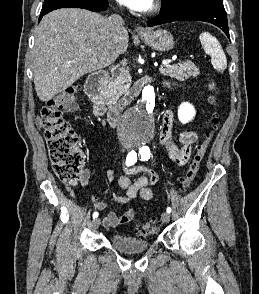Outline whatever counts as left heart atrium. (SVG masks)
<instances>
[{"label":"left heart atrium","mask_w":259,"mask_h":294,"mask_svg":"<svg viewBox=\"0 0 259 294\" xmlns=\"http://www.w3.org/2000/svg\"><path fill=\"white\" fill-rule=\"evenodd\" d=\"M121 4L137 11H145L147 10L152 0H118Z\"/></svg>","instance_id":"39dd6f15"}]
</instances>
